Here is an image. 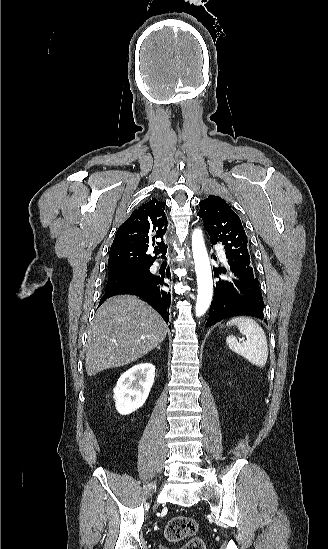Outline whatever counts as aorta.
<instances>
[{"mask_svg": "<svg viewBox=\"0 0 328 549\" xmlns=\"http://www.w3.org/2000/svg\"><path fill=\"white\" fill-rule=\"evenodd\" d=\"M191 240L198 284L195 313L197 317H200L205 314L211 304L213 296V280L209 257L201 229L198 228L193 231Z\"/></svg>", "mask_w": 328, "mask_h": 549, "instance_id": "1", "label": "aorta"}]
</instances>
